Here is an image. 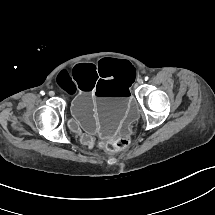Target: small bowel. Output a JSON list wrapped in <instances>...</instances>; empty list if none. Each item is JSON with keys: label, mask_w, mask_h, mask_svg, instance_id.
Instances as JSON below:
<instances>
[{"label": "small bowel", "mask_w": 215, "mask_h": 215, "mask_svg": "<svg viewBox=\"0 0 215 215\" xmlns=\"http://www.w3.org/2000/svg\"><path fill=\"white\" fill-rule=\"evenodd\" d=\"M71 126H72L73 128H75V124H74V123H72Z\"/></svg>", "instance_id": "small-bowel-1"}]
</instances>
